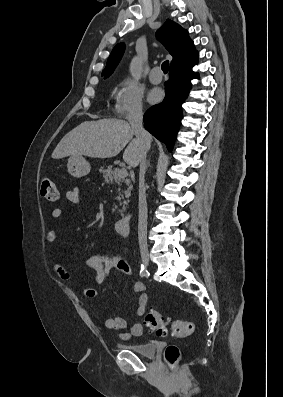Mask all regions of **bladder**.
<instances>
[{
    "instance_id": "1",
    "label": "bladder",
    "mask_w": 283,
    "mask_h": 397,
    "mask_svg": "<svg viewBox=\"0 0 283 397\" xmlns=\"http://www.w3.org/2000/svg\"><path fill=\"white\" fill-rule=\"evenodd\" d=\"M158 347L159 344L157 341H150L142 344H133V345L125 346L127 350L132 351L144 357H153L156 354Z\"/></svg>"
}]
</instances>
